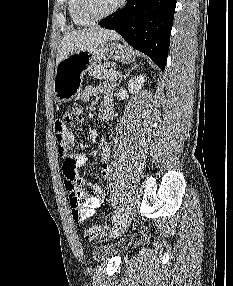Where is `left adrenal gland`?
<instances>
[{"label":"left adrenal gland","mask_w":233,"mask_h":286,"mask_svg":"<svg viewBox=\"0 0 233 286\" xmlns=\"http://www.w3.org/2000/svg\"><path fill=\"white\" fill-rule=\"evenodd\" d=\"M136 67H137V65L134 63V65H133V67H131V69H126L125 73L120 76L119 82H121V81H123L124 79H126V77H127L128 74L131 72V70L135 69Z\"/></svg>","instance_id":"left-adrenal-gland-1"}]
</instances>
